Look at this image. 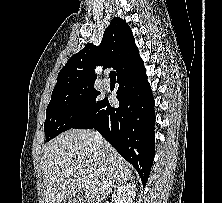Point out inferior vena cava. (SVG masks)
I'll return each instance as SVG.
<instances>
[{"instance_id":"obj_1","label":"inferior vena cava","mask_w":222,"mask_h":203,"mask_svg":"<svg viewBox=\"0 0 222 203\" xmlns=\"http://www.w3.org/2000/svg\"><path fill=\"white\" fill-rule=\"evenodd\" d=\"M95 140L100 147L104 148L105 140L97 131H95Z\"/></svg>"}]
</instances>
